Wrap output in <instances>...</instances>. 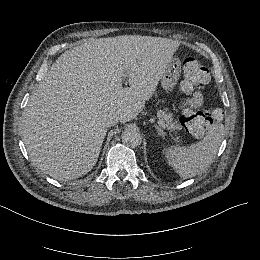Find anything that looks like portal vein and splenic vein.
I'll return each mask as SVG.
<instances>
[{"label": "portal vein and splenic vein", "mask_w": 260, "mask_h": 260, "mask_svg": "<svg viewBox=\"0 0 260 260\" xmlns=\"http://www.w3.org/2000/svg\"><path fill=\"white\" fill-rule=\"evenodd\" d=\"M159 123L162 128L167 129L166 124L162 120H159Z\"/></svg>", "instance_id": "1"}]
</instances>
